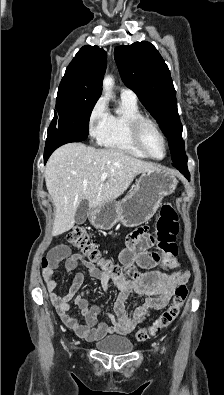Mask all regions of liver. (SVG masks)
Wrapping results in <instances>:
<instances>
[{
  "label": "liver",
  "mask_w": 224,
  "mask_h": 395,
  "mask_svg": "<svg viewBox=\"0 0 224 395\" xmlns=\"http://www.w3.org/2000/svg\"><path fill=\"white\" fill-rule=\"evenodd\" d=\"M156 168L118 149H96L82 143L58 148L44 173L56 211L52 235L58 236L74 226L82 200L95 209L122 195L138 174ZM103 173H107L104 182L100 180Z\"/></svg>",
  "instance_id": "liver-1"
}]
</instances>
